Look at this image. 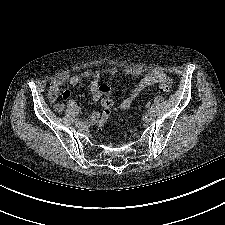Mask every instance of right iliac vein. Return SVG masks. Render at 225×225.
<instances>
[{"label": "right iliac vein", "mask_w": 225, "mask_h": 225, "mask_svg": "<svg viewBox=\"0 0 225 225\" xmlns=\"http://www.w3.org/2000/svg\"><path fill=\"white\" fill-rule=\"evenodd\" d=\"M76 126L77 127H82L83 126V122L82 121H77L76 122Z\"/></svg>", "instance_id": "1"}]
</instances>
